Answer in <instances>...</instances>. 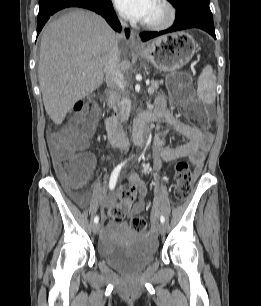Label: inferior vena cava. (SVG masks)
<instances>
[{
	"label": "inferior vena cava",
	"mask_w": 261,
	"mask_h": 306,
	"mask_svg": "<svg viewBox=\"0 0 261 306\" xmlns=\"http://www.w3.org/2000/svg\"><path fill=\"white\" fill-rule=\"evenodd\" d=\"M123 26H126V23L121 21ZM119 39H122L123 34L118 35ZM103 70L105 73V81L109 88L117 92V96L121 95V90L125 86V80L123 72L120 68V51L118 46H114L108 53L104 64Z\"/></svg>",
	"instance_id": "1"
}]
</instances>
